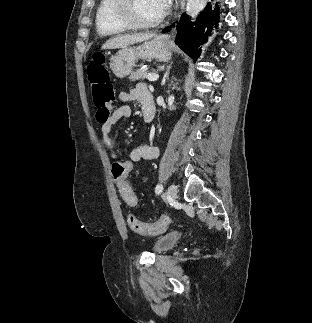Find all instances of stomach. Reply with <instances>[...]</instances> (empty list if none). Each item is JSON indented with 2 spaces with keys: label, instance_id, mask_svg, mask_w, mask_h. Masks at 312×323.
I'll use <instances>...</instances> for the list:
<instances>
[{
  "label": "stomach",
  "instance_id": "stomach-1",
  "mask_svg": "<svg viewBox=\"0 0 312 323\" xmlns=\"http://www.w3.org/2000/svg\"><path fill=\"white\" fill-rule=\"evenodd\" d=\"M171 40L169 36H154V40L144 42L141 46H125L112 56L110 68L117 78H126L131 74L137 60H157L169 62L172 56Z\"/></svg>",
  "mask_w": 312,
  "mask_h": 323
}]
</instances>
